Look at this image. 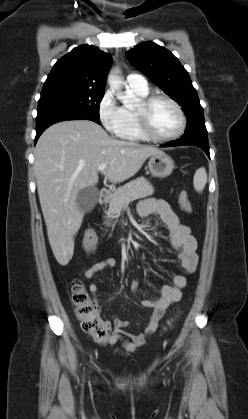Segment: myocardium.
I'll return each mask as SVG.
<instances>
[{
  "label": "myocardium",
  "instance_id": "f54148a6",
  "mask_svg": "<svg viewBox=\"0 0 248 419\" xmlns=\"http://www.w3.org/2000/svg\"><path fill=\"white\" fill-rule=\"evenodd\" d=\"M164 100L170 103L175 110L177 111L180 119V125L176 132L168 136H158L156 135L150 127L149 119H148V110L150 106L158 101ZM135 117L137 120V124L141 134L148 140L155 141V142H169L178 139L180 136L183 135L187 126V120L185 113L181 107V105L165 94H153L149 95L145 98L140 100L138 107L135 109Z\"/></svg>",
  "mask_w": 248,
  "mask_h": 419
}]
</instances>
